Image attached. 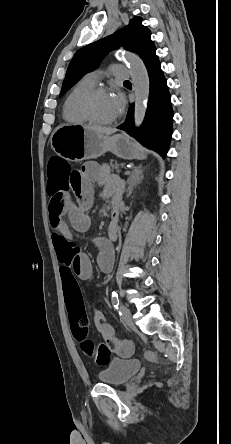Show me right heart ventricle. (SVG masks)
I'll use <instances>...</instances> for the list:
<instances>
[{
	"mask_svg": "<svg viewBox=\"0 0 231 444\" xmlns=\"http://www.w3.org/2000/svg\"><path fill=\"white\" fill-rule=\"evenodd\" d=\"M94 87V83L86 78L78 81L65 98L62 114L63 118L73 124H85L88 120L81 111V101L84 95Z\"/></svg>",
	"mask_w": 231,
	"mask_h": 444,
	"instance_id": "1",
	"label": "right heart ventricle"
}]
</instances>
